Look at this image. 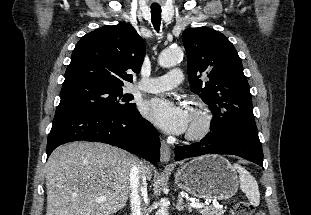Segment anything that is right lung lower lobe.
Returning a JSON list of instances; mask_svg holds the SVG:
<instances>
[{"label": "right lung lower lobe", "instance_id": "1", "mask_svg": "<svg viewBox=\"0 0 311 215\" xmlns=\"http://www.w3.org/2000/svg\"><path fill=\"white\" fill-rule=\"evenodd\" d=\"M78 140L111 144L153 164L160 160L159 136L138 111L122 115L87 112L55 115L47 140V157L59 145Z\"/></svg>", "mask_w": 311, "mask_h": 215}]
</instances>
